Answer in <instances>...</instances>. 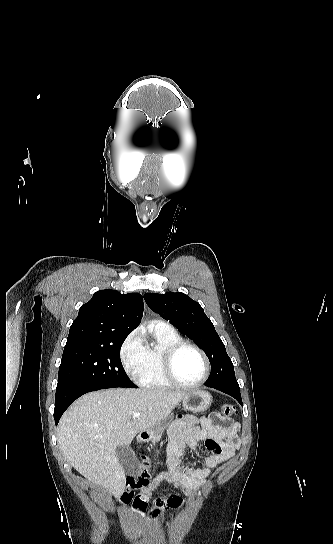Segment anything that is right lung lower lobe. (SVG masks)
<instances>
[{"label": "right lung lower lobe", "mask_w": 333, "mask_h": 544, "mask_svg": "<svg viewBox=\"0 0 333 544\" xmlns=\"http://www.w3.org/2000/svg\"><path fill=\"white\" fill-rule=\"evenodd\" d=\"M107 388H114V387L82 388L78 385L57 386L56 398H55V409H54L55 424L56 425L58 424L62 414L74 400H76L77 398H79L85 393L101 390V389H107Z\"/></svg>", "instance_id": "right-lung-lower-lobe-1"}]
</instances>
